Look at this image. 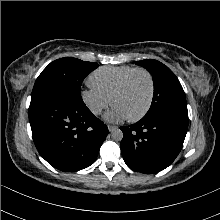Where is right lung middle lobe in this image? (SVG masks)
<instances>
[{
	"instance_id": "right-lung-middle-lobe-1",
	"label": "right lung middle lobe",
	"mask_w": 220,
	"mask_h": 220,
	"mask_svg": "<svg viewBox=\"0 0 220 220\" xmlns=\"http://www.w3.org/2000/svg\"><path fill=\"white\" fill-rule=\"evenodd\" d=\"M99 65L72 57L60 58L50 63L39 75L32 96L39 93H57L83 102L80 87L84 78Z\"/></svg>"
}]
</instances>
